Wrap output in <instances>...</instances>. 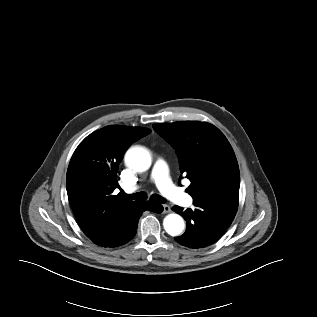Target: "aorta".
<instances>
[{"label":"aorta","instance_id":"obj_1","mask_svg":"<svg viewBox=\"0 0 317 317\" xmlns=\"http://www.w3.org/2000/svg\"><path fill=\"white\" fill-rule=\"evenodd\" d=\"M152 158L149 151L143 147L130 148L125 154L126 165L135 172H145L151 166ZM165 231L171 236H178L185 228L183 218L176 214H168L163 220Z\"/></svg>","mask_w":317,"mask_h":317}]
</instances>
